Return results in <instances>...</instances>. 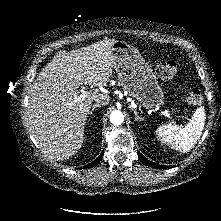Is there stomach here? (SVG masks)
Segmentation results:
<instances>
[{
	"mask_svg": "<svg viewBox=\"0 0 221 221\" xmlns=\"http://www.w3.org/2000/svg\"><path fill=\"white\" fill-rule=\"evenodd\" d=\"M111 53L124 91L145 108H158L164 104V92L153 70L136 48L124 41H116Z\"/></svg>",
	"mask_w": 221,
	"mask_h": 221,
	"instance_id": "0dacf381",
	"label": "stomach"
}]
</instances>
